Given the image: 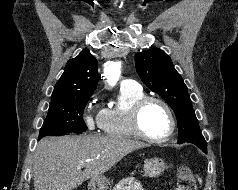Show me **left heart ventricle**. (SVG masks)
Here are the masks:
<instances>
[{
    "label": "left heart ventricle",
    "mask_w": 238,
    "mask_h": 190,
    "mask_svg": "<svg viewBox=\"0 0 238 190\" xmlns=\"http://www.w3.org/2000/svg\"><path fill=\"white\" fill-rule=\"evenodd\" d=\"M141 125L148 135L162 137L170 129V119L161 105L151 103L142 112Z\"/></svg>",
    "instance_id": "1"
}]
</instances>
